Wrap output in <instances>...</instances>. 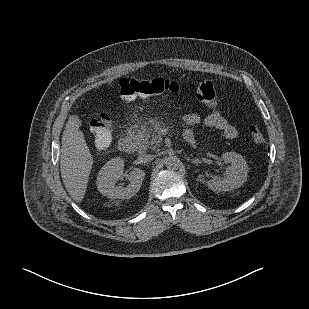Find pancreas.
<instances>
[{"instance_id": "obj_1", "label": "pancreas", "mask_w": 309, "mask_h": 309, "mask_svg": "<svg viewBox=\"0 0 309 309\" xmlns=\"http://www.w3.org/2000/svg\"><path fill=\"white\" fill-rule=\"evenodd\" d=\"M133 136L139 151L147 150L148 148L155 150L162 141L161 135L154 130H138Z\"/></svg>"}]
</instances>
